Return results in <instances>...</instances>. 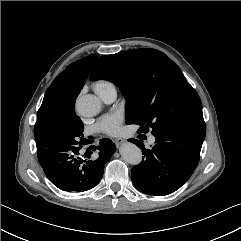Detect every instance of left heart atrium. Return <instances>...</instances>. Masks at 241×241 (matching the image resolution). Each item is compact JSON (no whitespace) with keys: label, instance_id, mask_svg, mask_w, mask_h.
Segmentation results:
<instances>
[{"label":"left heart atrium","instance_id":"obj_1","mask_svg":"<svg viewBox=\"0 0 241 241\" xmlns=\"http://www.w3.org/2000/svg\"><path fill=\"white\" fill-rule=\"evenodd\" d=\"M122 119H123V116L119 112L109 114L102 117L95 125V128L100 132H103L109 135H115L120 130V124L122 122Z\"/></svg>","mask_w":241,"mask_h":241}]
</instances>
